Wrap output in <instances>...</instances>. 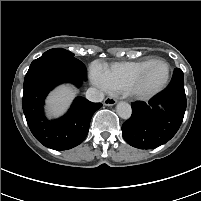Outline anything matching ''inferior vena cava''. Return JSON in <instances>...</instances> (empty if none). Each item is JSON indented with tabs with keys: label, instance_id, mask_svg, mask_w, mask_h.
<instances>
[{
	"label": "inferior vena cava",
	"instance_id": "602c4592",
	"mask_svg": "<svg viewBox=\"0 0 201 201\" xmlns=\"http://www.w3.org/2000/svg\"><path fill=\"white\" fill-rule=\"evenodd\" d=\"M86 98L91 102H102L104 99V93L94 87H90L86 91Z\"/></svg>",
	"mask_w": 201,
	"mask_h": 201
}]
</instances>
